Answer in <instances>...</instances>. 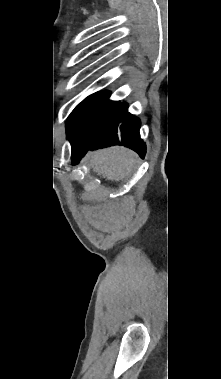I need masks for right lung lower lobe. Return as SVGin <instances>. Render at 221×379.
Returning <instances> with one entry per match:
<instances>
[{
  "mask_svg": "<svg viewBox=\"0 0 221 379\" xmlns=\"http://www.w3.org/2000/svg\"><path fill=\"white\" fill-rule=\"evenodd\" d=\"M127 104L120 103L118 109L103 129L98 138L93 142L72 143V162L77 164L88 150H94L112 145H124L136 151L142 158L146 152V146L140 139V121L127 112Z\"/></svg>",
  "mask_w": 221,
  "mask_h": 379,
  "instance_id": "98d812e1",
  "label": "right lung lower lobe"
}]
</instances>
